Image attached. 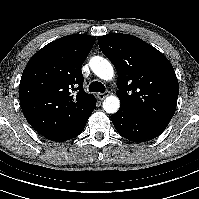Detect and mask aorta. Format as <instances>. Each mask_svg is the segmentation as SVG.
Wrapping results in <instances>:
<instances>
[{"label": "aorta", "instance_id": "obj_1", "mask_svg": "<svg viewBox=\"0 0 199 199\" xmlns=\"http://www.w3.org/2000/svg\"><path fill=\"white\" fill-rule=\"evenodd\" d=\"M90 68L93 73L103 80H111L114 76L112 64L105 58L94 56L89 62ZM120 100L117 96L110 95L106 97L103 102V109L109 113L114 114L119 110Z\"/></svg>", "mask_w": 199, "mask_h": 199}]
</instances>
